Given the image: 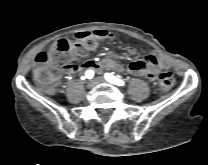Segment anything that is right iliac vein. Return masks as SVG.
<instances>
[{
  "label": "right iliac vein",
  "mask_w": 208,
  "mask_h": 165,
  "mask_svg": "<svg viewBox=\"0 0 208 165\" xmlns=\"http://www.w3.org/2000/svg\"><path fill=\"white\" fill-rule=\"evenodd\" d=\"M95 84H96V81L94 79L89 80L87 82V88H93L95 86Z\"/></svg>",
  "instance_id": "63e3f726"
}]
</instances>
